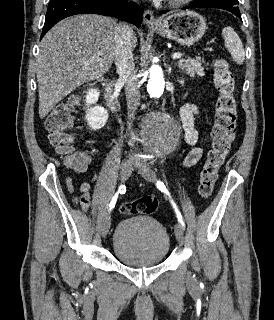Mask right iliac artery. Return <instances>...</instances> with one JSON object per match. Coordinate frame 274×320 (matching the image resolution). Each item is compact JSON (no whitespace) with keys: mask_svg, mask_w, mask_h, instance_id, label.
<instances>
[{"mask_svg":"<svg viewBox=\"0 0 274 320\" xmlns=\"http://www.w3.org/2000/svg\"><path fill=\"white\" fill-rule=\"evenodd\" d=\"M125 192H126V187H125V185H121V186L119 187L117 193H116V194L114 195V197L112 198V201L110 202V205H109L110 211L114 208L119 193H120V194H124Z\"/></svg>","mask_w":274,"mask_h":320,"instance_id":"obj_1","label":"right iliac artery"}]
</instances>
